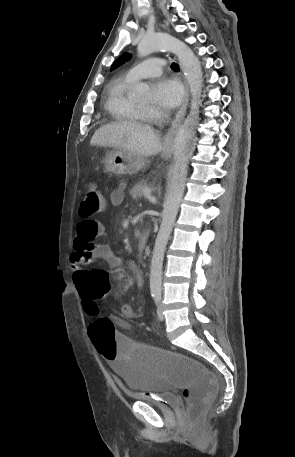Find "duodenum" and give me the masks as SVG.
I'll use <instances>...</instances> for the list:
<instances>
[{
	"label": "duodenum",
	"instance_id": "410a0bca",
	"mask_svg": "<svg viewBox=\"0 0 295 457\" xmlns=\"http://www.w3.org/2000/svg\"><path fill=\"white\" fill-rule=\"evenodd\" d=\"M148 240V235L146 232H143L139 238V250H144Z\"/></svg>",
	"mask_w": 295,
	"mask_h": 457
}]
</instances>
